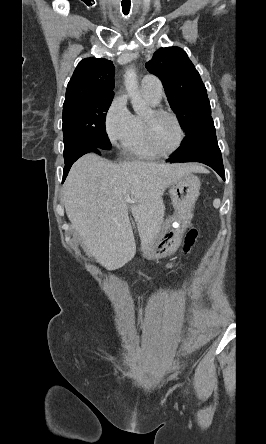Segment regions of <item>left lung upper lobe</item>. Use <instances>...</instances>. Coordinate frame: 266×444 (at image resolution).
I'll return each instance as SVG.
<instances>
[{
  "instance_id": "obj_1",
  "label": "left lung upper lobe",
  "mask_w": 266,
  "mask_h": 444,
  "mask_svg": "<svg viewBox=\"0 0 266 444\" xmlns=\"http://www.w3.org/2000/svg\"><path fill=\"white\" fill-rule=\"evenodd\" d=\"M146 68L162 81L169 104L187 134L212 120L205 85L183 49H158Z\"/></svg>"
}]
</instances>
